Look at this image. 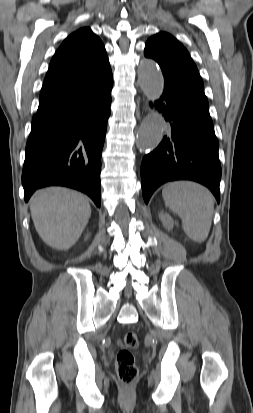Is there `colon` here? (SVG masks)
I'll list each match as a JSON object with an SVG mask.
<instances>
[{"mask_svg": "<svg viewBox=\"0 0 253 413\" xmlns=\"http://www.w3.org/2000/svg\"><path fill=\"white\" fill-rule=\"evenodd\" d=\"M138 344L139 341L136 333H126L123 338V348L119 350L116 356V373L119 381L125 387H130L138 375V368L131 351L138 347Z\"/></svg>", "mask_w": 253, "mask_h": 413, "instance_id": "5ec220e1", "label": "colon"}]
</instances>
